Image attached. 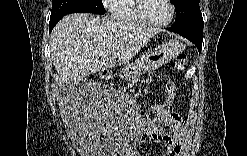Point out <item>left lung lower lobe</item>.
<instances>
[{"mask_svg":"<svg viewBox=\"0 0 247 156\" xmlns=\"http://www.w3.org/2000/svg\"><path fill=\"white\" fill-rule=\"evenodd\" d=\"M203 26L204 24L201 14L183 25H174L167 29L169 31L178 33L179 35L193 42L197 46L200 53L202 49Z\"/></svg>","mask_w":247,"mask_h":156,"instance_id":"obj_1","label":"left lung lower lobe"}]
</instances>
